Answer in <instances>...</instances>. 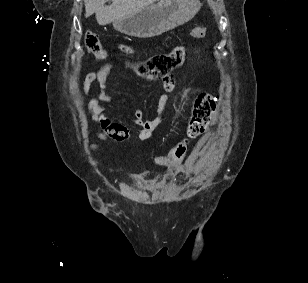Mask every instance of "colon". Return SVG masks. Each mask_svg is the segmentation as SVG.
<instances>
[{"label":"colon","mask_w":308,"mask_h":283,"mask_svg":"<svg viewBox=\"0 0 308 283\" xmlns=\"http://www.w3.org/2000/svg\"><path fill=\"white\" fill-rule=\"evenodd\" d=\"M206 34L207 28L205 26H198L190 31V36L195 39L203 38ZM84 43L97 58H107L108 53L96 33L86 31ZM184 56L185 48L179 45L168 53L157 54L145 61L132 63L130 67L142 78L161 79L165 84L172 86L173 77L171 72L183 63ZM215 107L216 98L211 92L200 93L195 98L184 136L170 149L166 156L155 159L157 164L164 166H176L179 164L187 151L189 142L202 135L207 128Z\"/></svg>","instance_id":"1"}]
</instances>
